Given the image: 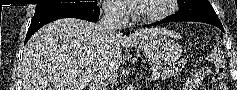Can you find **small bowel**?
Segmentation results:
<instances>
[{"instance_id":"1","label":"small bowel","mask_w":237,"mask_h":90,"mask_svg":"<svg viewBox=\"0 0 237 90\" xmlns=\"http://www.w3.org/2000/svg\"><path fill=\"white\" fill-rule=\"evenodd\" d=\"M208 73H209V70H208V69H203V70H201L199 73H197V74H195L194 76H192V77L188 80V82H187V84H186L187 89H189V90H195V89L199 86V84L201 83V81H202L205 77H207Z\"/></svg>"}]
</instances>
